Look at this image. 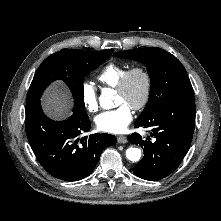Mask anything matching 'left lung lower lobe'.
I'll return each mask as SVG.
<instances>
[{
    "mask_svg": "<svg viewBox=\"0 0 221 221\" xmlns=\"http://www.w3.org/2000/svg\"><path fill=\"white\" fill-rule=\"evenodd\" d=\"M195 102L181 101L158 108L134 127L149 128L154 139L138 133L127 137L144 149V157L133 167L140 178L157 181L170 175L182 162L191 145L195 127Z\"/></svg>",
    "mask_w": 221,
    "mask_h": 221,
    "instance_id": "left-lung-lower-lobe-1",
    "label": "left lung lower lobe"
}]
</instances>
